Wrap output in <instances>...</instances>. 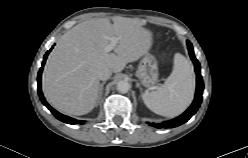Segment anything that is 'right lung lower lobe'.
Segmentation results:
<instances>
[{"label":"right lung lower lobe","instance_id":"obj_1","mask_svg":"<svg viewBox=\"0 0 248 158\" xmlns=\"http://www.w3.org/2000/svg\"><path fill=\"white\" fill-rule=\"evenodd\" d=\"M52 49H50L45 55H44V59H43V63H42V67L39 70L38 73V77H37V82H38V93L39 96L41 98L42 103L52 112V114L60 121L68 123V124H83L84 121H79L76 119H73L71 117L65 116L63 114H60L59 112H57L56 110H54L45 100L42 91H41V74H42V70L44 67V63L46 62V58L48 56V54L50 53Z\"/></svg>","mask_w":248,"mask_h":158}]
</instances>
